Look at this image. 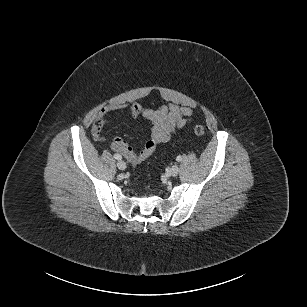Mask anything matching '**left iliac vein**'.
<instances>
[{
    "label": "left iliac vein",
    "mask_w": 307,
    "mask_h": 307,
    "mask_svg": "<svg viewBox=\"0 0 307 307\" xmlns=\"http://www.w3.org/2000/svg\"><path fill=\"white\" fill-rule=\"evenodd\" d=\"M178 173H179L178 165H173L169 171V174L174 177L177 176Z\"/></svg>",
    "instance_id": "left-iliac-vein-1"
}]
</instances>
